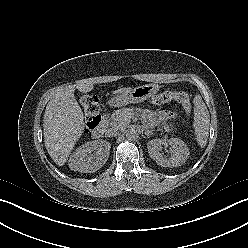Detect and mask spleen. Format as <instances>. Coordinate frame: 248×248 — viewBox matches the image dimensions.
<instances>
[{"label":"spleen","instance_id":"3e777b00","mask_svg":"<svg viewBox=\"0 0 248 248\" xmlns=\"http://www.w3.org/2000/svg\"><path fill=\"white\" fill-rule=\"evenodd\" d=\"M194 103V122L193 127L198 144L204 148L209 136L210 117L207 107L200 95H196L193 100Z\"/></svg>","mask_w":248,"mask_h":248}]
</instances>
